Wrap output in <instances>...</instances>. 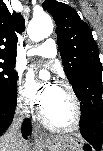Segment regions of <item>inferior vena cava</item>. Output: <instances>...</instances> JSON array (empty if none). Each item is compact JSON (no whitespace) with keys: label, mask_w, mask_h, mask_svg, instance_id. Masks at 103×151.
Instances as JSON below:
<instances>
[{"label":"inferior vena cava","mask_w":103,"mask_h":151,"mask_svg":"<svg viewBox=\"0 0 103 151\" xmlns=\"http://www.w3.org/2000/svg\"><path fill=\"white\" fill-rule=\"evenodd\" d=\"M22 112H17L16 113V117L11 125L10 131L8 134H6V139L9 140L10 142H15L16 141V137L19 134V129L21 127V123H22Z\"/></svg>","instance_id":"602c4592"}]
</instances>
